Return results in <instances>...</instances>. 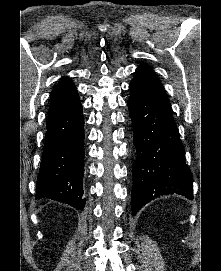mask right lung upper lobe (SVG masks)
<instances>
[{"label": "right lung upper lobe", "instance_id": "right-lung-upper-lobe-1", "mask_svg": "<svg viewBox=\"0 0 221 271\" xmlns=\"http://www.w3.org/2000/svg\"><path fill=\"white\" fill-rule=\"evenodd\" d=\"M79 96L76 87L71 80L65 78L53 89L50 95V107L48 113L62 111L76 102Z\"/></svg>", "mask_w": 221, "mask_h": 271}]
</instances>
